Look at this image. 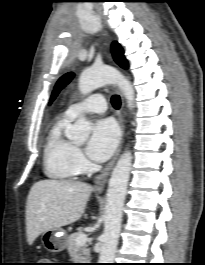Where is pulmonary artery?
Segmentation results:
<instances>
[{
    "mask_svg": "<svg viewBox=\"0 0 205 265\" xmlns=\"http://www.w3.org/2000/svg\"><path fill=\"white\" fill-rule=\"evenodd\" d=\"M107 109V103L104 96L100 94L93 95L83 102L71 105L64 115L73 120L85 113H103Z\"/></svg>",
    "mask_w": 205,
    "mask_h": 265,
    "instance_id": "1",
    "label": "pulmonary artery"
}]
</instances>
